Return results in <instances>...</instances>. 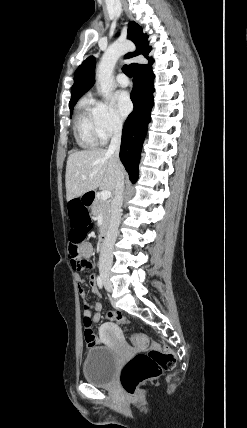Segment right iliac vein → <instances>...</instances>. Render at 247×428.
Returning <instances> with one entry per match:
<instances>
[{"mask_svg":"<svg viewBox=\"0 0 247 428\" xmlns=\"http://www.w3.org/2000/svg\"><path fill=\"white\" fill-rule=\"evenodd\" d=\"M101 276H102V279L104 280V283H105L106 288H107L109 291H111V290H112V284H111V282L109 281V274H108V272H107V271H105V270H102V271H101Z\"/></svg>","mask_w":247,"mask_h":428,"instance_id":"63e3f726","label":"right iliac vein"}]
</instances>
